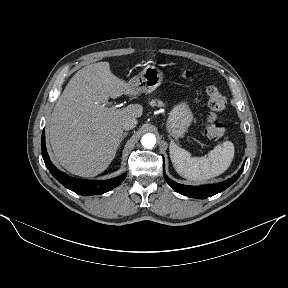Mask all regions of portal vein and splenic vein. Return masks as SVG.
Masks as SVG:
<instances>
[{"instance_id": "obj_1", "label": "portal vein and splenic vein", "mask_w": 288, "mask_h": 288, "mask_svg": "<svg viewBox=\"0 0 288 288\" xmlns=\"http://www.w3.org/2000/svg\"><path fill=\"white\" fill-rule=\"evenodd\" d=\"M104 109H108L107 107H105L104 105L102 106ZM117 106H112L110 109H115Z\"/></svg>"}]
</instances>
